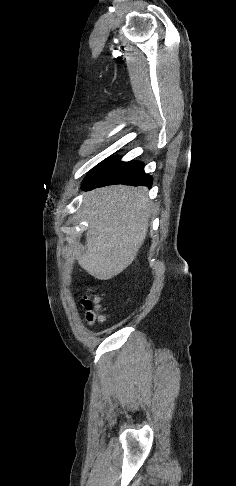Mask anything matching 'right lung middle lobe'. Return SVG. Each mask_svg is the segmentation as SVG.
Returning <instances> with one entry per match:
<instances>
[{
	"instance_id": "dd1d6c3e",
	"label": "right lung middle lobe",
	"mask_w": 236,
	"mask_h": 486,
	"mask_svg": "<svg viewBox=\"0 0 236 486\" xmlns=\"http://www.w3.org/2000/svg\"><path fill=\"white\" fill-rule=\"evenodd\" d=\"M100 165H101V164H99V165H98L96 168H94V169H93V170L90 172V174H91V173H92V172H93L95 169H97V168H98ZM90 174H89V175H90ZM89 175H88V176H89ZM88 176H87V177H88ZM87 177H86V178H87ZM86 178H85V179H86Z\"/></svg>"
}]
</instances>
